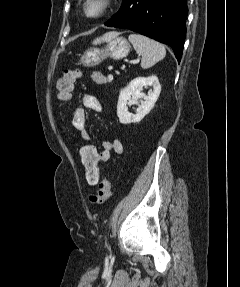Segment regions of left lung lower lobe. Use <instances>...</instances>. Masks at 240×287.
I'll return each instance as SVG.
<instances>
[{"label": "left lung lower lobe", "instance_id": "left-lung-lower-lobe-1", "mask_svg": "<svg viewBox=\"0 0 240 287\" xmlns=\"http://www.w3.org/2000/svg\"><path fill=\"white\" fill-rule=\"evenodd\" d=\"M186 0H123L105 25L126 28L172 47L180 62L186 36Z\"/></svg>", "mask_w": 240, "mask_h": 287}]
</instances>
